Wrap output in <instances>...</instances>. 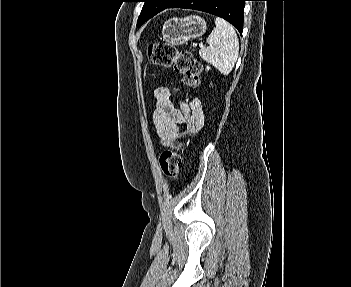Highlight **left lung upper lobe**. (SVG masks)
<instances>
[{"mask_svg": "<svg viewBox=\"0 0 351 287\" xmlns=\"http://www.w3.org/2000/svg\"><path fill=\"white\" fill-rule=\"evenodd\" d=\"M144 6L142 8L141 14L138 18L137 26L142 25L145 21L152 18L157 13L166 9L176 0H142Z\"/></svg>", "mask_w": 351, "mask_h": 287, "instance_id": "obj_1", "label": "left lung upper lobe"}]
</instances>
